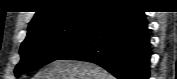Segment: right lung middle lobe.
I'll return each mask as SVG.
<instances>
[{
  "instance_id": "1",
  "label": "right lung middle lobe",
  "mask_w": 177,
  "mask_h": 79,
  "mask_svg": "<svg viewBox=\"0 0 177 79\" xmlns=\"http://www.w3.org/2000/svg\"><path fill=\"white\" fill-rule=\"evenodd\" d=\"M101 14L54 22L29 31L21 45V61L15 75L44 66L79 45L93 30Z\"/></svg>"
}]
</instances>
